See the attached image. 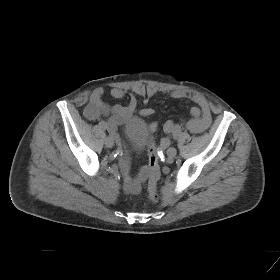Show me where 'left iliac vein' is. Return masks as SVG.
<instances>
[{
  "instance_id": "1",
  "label": "left iliac vein",
  "mask_w": 280,
  "mask_h": 280,
  "mask_svg": "<svg viewBox=\"0 0 280 280\" xmlns=\"http://www.w3.org/2000/svg\"><path fill=\"white\" fill-rule=\"evenodd\" d=\"M177 154V150L174 148V147H170L168 150H167V155L169 158H173L175 157Z\"/></svg>"
}]
</instances>
